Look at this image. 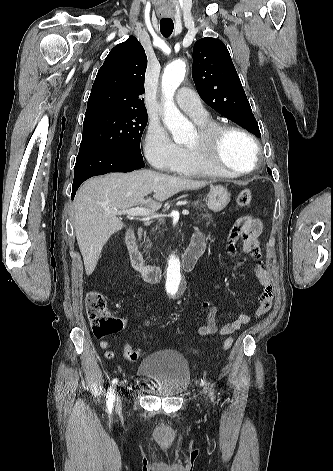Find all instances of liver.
<instances>
[{
  "label": "liver",
  "instance_id": "liver-1",
  "mask_svg": "<svg viewBox=\"0 0 333 471\" xmlns=\"http://www.w3.org/2000/svg\"><path fill=\"white\" fill-rule=\"evenodd\" d=\"M206 181L175 177L153 170L109 173L87 180L74 200V228L85 271L91 275L103 246L125 225L114 212L136 205L156 211L162 202L182 190L199 189ZM154 192L153 199L145 197Z\"/></svg>",
  "mask_w": 333,
  "mask_h": 471
}]
</instances>
